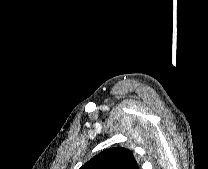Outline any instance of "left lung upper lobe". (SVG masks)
Listing matches in <instances>:
<instances>
[{
    "label": "left lung upper lobe",
    "instance_id": "obj_1",
    "mask_svg": "<svg viewBox=\"0 0 208 169\" xmlns=\"http://www.w3.org/2000/svg\"><path fill=\"white\" fill-rule=\"evenodd\" d=\"M80 169H139L129 149L109 148L91 158Z\"/></svg>",
    "mask_w": 208,
    "mask_h": 169
}]
</instances>
